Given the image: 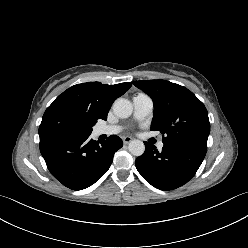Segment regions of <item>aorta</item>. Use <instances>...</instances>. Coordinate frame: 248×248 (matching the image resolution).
<instances>
[{
  "mask_svg": "<svg viewBox=\"0 0 248 248\" xmlns=\"http://www.w3.org/2000/svg\"><path fill=\"white\" fill-rule=\"evenodd\" d=\"M132 103L125 98H118L113 104V112L119 118H127L132 114ZM129 152L134 156H141L145 151V145L141 140H132L128 146Z\"/></svg>",
  "mask_w": 248,
  "mask_h": 248,
  "instance_id": "762f6f07",
  "label": "aorta"
}]
</instances>
